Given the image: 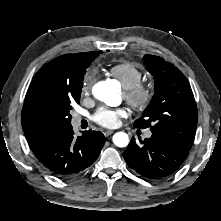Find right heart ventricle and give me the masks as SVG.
Listing matches in <instances>:
<instances>
[{"mask_svg": "<svg viewBox=\"0 0 221 221\" xmlns=\"http://www.w3.org/2000/svg\"><path fill=\"white\" fill-rule=\"evenodd\" d=\"M109 73L121 83L123 88L133 87L143 78L142 71L131 62L117 63L109 69Z\"/></svg>", "mask_w": 221, "mask_h": 221, "instance_id": "obj_1", "label": "right heart ventricle"}]
</instances>
